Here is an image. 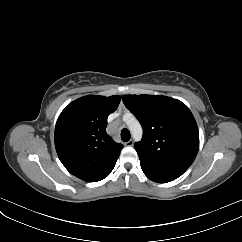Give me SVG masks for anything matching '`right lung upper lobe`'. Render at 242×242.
<instances>
[{
    "label": "right lung upper lobe",
    "instance_id": "right-lung-upper-lobe-1",
    "mask_svg": "<svg viewBox=\"0 0 242 242\" xmlns=\"http://www.w3.org/2000/svg\"><path fill=\"white\" fill-rule=\"evenodd\" d=\"M120 103V96L88 95L70 103L55 127V147L60 161L74 176L99 181L120 155L122 144L106 133L107 117Z\"/></svg>",
    "mask_w": 242,
    "mask_h": 242
}]
</instances>
